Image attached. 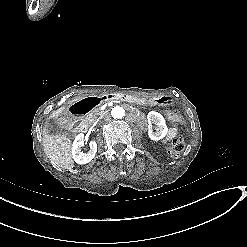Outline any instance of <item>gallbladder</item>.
<instances>
[{
	"instance_id": "obj_1",
	"label": "gallbladder",
	"mask_w": 247,
	"mask_h": 247,
	"mask_svg": "<svg viewBox=\"0 0 247 247\" xmlns=\"http://www.w3.org/2000/svg\"><path fill=\"white\" fill-rule=\"evenodd\" d=\"M41 127L43 130L48 131L49 134L54 135L58 133L59 135H63L68 137L70 132L65 128H61L59 121L56 119L48 118L42 122Z\"/></svg>"
}]
</instances>
